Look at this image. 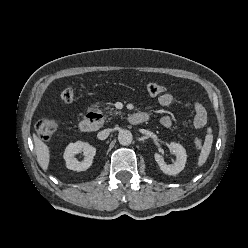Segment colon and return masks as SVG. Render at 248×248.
I'll list each match as a JSON object with an SVG mask.
<instances>
[{
  "mask_svg": "<svg viewBox=\"0 0 248 248\" xmlns=\"http://www.w3.org/2000/svg\"><path fill=\"white\" fill-rule=\"evenodd\" d=\"M145 89L151 96L161 95L165 91V87L157 83H148ZM60 97L64 102H72L75 97L74 90L71 87H67L61 91ZM58 127V121L52 118L42 119L38 121L36 125V129L40 137L45 140L52 138L57 132ZM194 144L198 150L202 149L203 147V141L200 138H196Z\"/></svg>",
  "mask_w": 248,
  "mask_h": 248,
  "instance_id": "1",
  "label": "colon"
}]
</instances>
